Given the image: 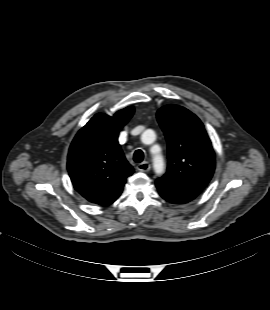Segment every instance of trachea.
<instances>
[{
    "label": "trachea",
    "mask_w": 270,
    "mask_h": 310,
    "mask_svg": "<svg viewBox=\"0 0 270 310\" xmlns=\"http://www.w3.org/2000/svg\"><path fill=\"white\" fill-rule=\"evenodd\" d=\"M144 159V153L142 150H136L133 154V160L136 163L142 162Z\"/></svg>",
    "instance_id": "1"
}]
</instances>
